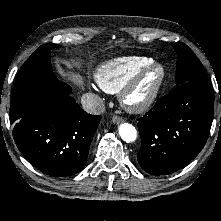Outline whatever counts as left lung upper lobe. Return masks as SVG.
I'll use <instances>...</instances> for the list:
<instances>
[{
    "label": "left lung upper lobe",
    "mask_w": 221,
    "mask_h": 221,
    "mask_svg": "<svg viewBox=\"0 0 221 221\" xmlns=\"http://www.w3.org/2000/svg\"><path fill=\"white\" fill-rule=\"evenodd\" d=\"M172 46L178 55L175 75L178 86L191 80H207L201 62L187 45L174 43Z\"/></svg>",
    "instance_id": "1"
}]
</instances>
